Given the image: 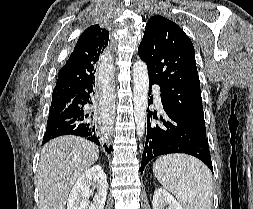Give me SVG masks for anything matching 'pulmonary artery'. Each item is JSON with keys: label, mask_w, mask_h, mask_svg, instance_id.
Here are the masks:
<instances>
[{"label": "pulmonary artery", "mask_w": 253, "mask_h": 209, "mask_svg": "<svg viewBox=\"0 0 253 209\" xmlns=\"http://www.w3.org/2000/svg\"><path fill=\"white\" fill-rule=\"evenodd\" d=\"M153 90L155 91V94H156V99H157V102H158V106L161 108V104H160V88L158 85H153Z\"/></svg>", "instance_id": "pulmonary-artery-1"}]
</instances>
